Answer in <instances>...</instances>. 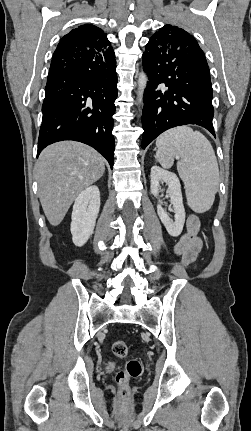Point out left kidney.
Here are the masks:
<instances>
[{
	"label": "left kidney",
	"instance_id": "1",
	"mask_svg": "<svg viewBox=\"0 0 251 431\" xmlns=\"http://www.w3.org/2000/svg\"><path fill=\"white\" fill-rule=\"evenodd\" d=\"M150 177V190L155 197L159 195L161 182H165L168 185V194L175 213L174 221L170 219L167 212L161 206L160 200L157 205V213L169 235L177 237L181 234L185 222V209L183 206L180 181L175 173L164 170L157 165L151 168Z\"/></svg>",
	"mask_w": 251,
	"mask_h": 431
}]
</instances>
